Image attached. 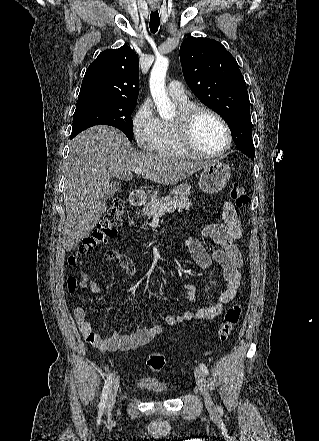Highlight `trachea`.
Segmentation results:
<instances>
[{
    "instance_id": "obj_1",
    "label": "trachea",
    "mask_w": 319,
    "mask_h": 441,
    "mask_svg": "<svg viewBox=\"0 0 319 441\" xmlns=\"http://www.w3.org/2000/svg\"><path fill=\"white\" fill-rule=\"evenodd\" d=\"M159 25H160L159 13L158 11H152L150 15V23H149L150 31L153 34H155L158 31Z\"/></svg>"
}]
</instances>
